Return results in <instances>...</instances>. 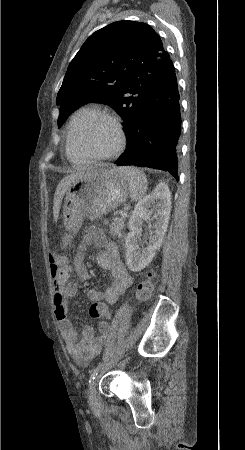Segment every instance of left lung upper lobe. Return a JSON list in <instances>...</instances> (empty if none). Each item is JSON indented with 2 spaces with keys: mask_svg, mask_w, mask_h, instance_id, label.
I'll list each match as a JSON object with an SVG mask.
<instances>
[{
  "mask_svg": "<svg viewBox=\"0 0 245 450\" xmlns=\"http://www.w3.org/2000/svg\"><path fill=\"white\" fill-rule=\"evenodd\" d=\"M169 61L160 37L145 23L118 21L96 31L69 64L57 95L58 126L79 105L98 101L120 115L128 138Z\"/></svg>",
  "mask_w": 245,
  "mask_h": 450,
  "instance_id": "left-lung-upper-lobe-1",
  "label": "left lung upper lobe"
}]
</instances>
